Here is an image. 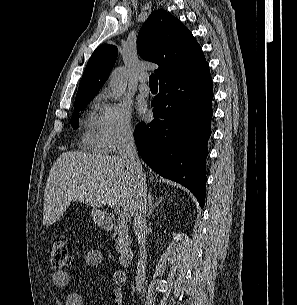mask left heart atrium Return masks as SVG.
<instances>
[{"label":"left heart atrium","instance_id":"1","mask_svg":"<svg viewBox=\"0 0 297 305\" xmlns=\"http://www.w3.org/2000/svg\"><path fill=\"white\" fill-rule=\"evenodd\" d=\"M140 112H141V114H144V113H145V110H144V109H142Z\"/></svg>","mask_w":297,"mask_h":305}]
</instances>
